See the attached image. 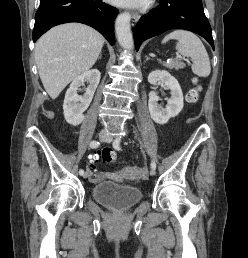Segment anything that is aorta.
I'll return each mask as SVG.
<instances>
[{
	"label": "aorta",
	"mask_w": 248,
	"mask_h": 258,
	"mask_svg": "<svg viewBox=\"0 0 248 258\" xmlns=\"http://www.w3.org/2000/svg\"><path fill=\"white\" fill-rule=\"evenodd\" d=\"M131 15L124 12L118 15L115 22V32L120 46L124 49L131 50L133 48V37L130 27Z\"/></svg>",
	"instance_id": "obj_1"
}]
</instances>
